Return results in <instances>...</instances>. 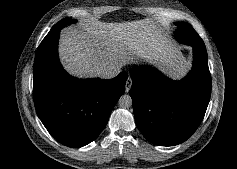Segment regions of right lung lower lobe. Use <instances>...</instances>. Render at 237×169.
<instances>
[{"label":"right lung lower lobe","mask_w":237,"mask_h":169,"mask_svg":"<svg viewBox=\"0 0 237 169\" xmlns=\"http://www.w3.org/2000/svg\"><path fill=\"white\" fill-rule=\"evenodd\" d=\"M59 34H47L36 52L34 104L49 133L60 143L78 148L92 142L107 124L124 93L127 73L109 80L70 76L58 58Z\"/></svg>","instance_id":"obj_1"}]
</instances>
